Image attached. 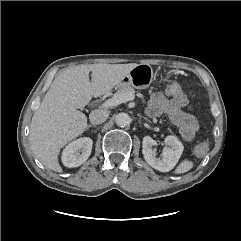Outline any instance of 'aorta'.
Returning a JSON list of instances; mask_svg holds the SVG:
<instances>
[{"label": "aorta", "instance_id": "aorta-1", "mask_svg": "<svg viewBox=\"0 0 241 241\" xmlns=\"http://www.w3.org/2000/svg\"><path fill=\"white\" fill-rule=\"evenodd\" d=\"M116 125L120 127L128 126L131 122V118L127 113H119L115 117Z\"/></svg>", "mask_w": 241, "mask_h": 241}]
</instances>
